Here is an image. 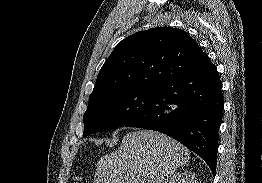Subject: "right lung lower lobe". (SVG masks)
I'll return each mask as SVG.
<instances>
[{
    "instance_id": "98d812e1",
    "label": "right lung lower lobe",
    "mask_w": 262,
    "mask_h": 183,
    "mask_svg": "<svg viewBox=\"0 0 262 183\" xmlns=\"http://www.w3.org/2000/svg\"><path fill=\"white\" fill-rule=\"evenodd\" d=\"M222 83L210 62L163 83L150 105L125 127L162 132L205 160L216 173Z\"/></svg>"
}]
</instances>
